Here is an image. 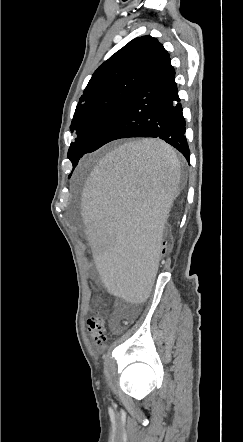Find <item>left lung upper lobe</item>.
<instances>
[{
    "mask_svg": "<svg viewBox=\"0 0 243 442\" xmlns=\"http://www.w3.org/2000/svg\"><path fill=\"white\" fill-rule=\"evenodd\" d=\"M165 51L156 38L137 37L94 72L70 126L71 132L77 135L67 155L73 168L89 152L117 108L144 80Z\"/></svg>",
    "mask_w": 243,
    "mask_h": 442,
    "instance_id": "left-lung-upper-lobe-1",
    "label": "left lung upper lobe"
}]
</instances>
